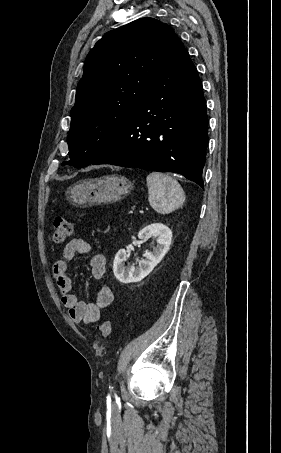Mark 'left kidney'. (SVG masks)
I'll return each mask as SVG.
<instances>
[{"mask_svg": "<svg viewBox=\"0 0 281 453\" xmlns=\"http://www.w3.org/2000/svg\"><path fill=\"white\" fill-rule=\"evenodd\" d=\"M156 237L157 247L153 249V253L145 251L142 255L143 259H138V267H124L125 259H129L128 251L120 249L116 253V257L113 263V273L120 281V283H139L142 279H145L154 267L162 261L166 253H168L172 241V231L166 224L162 222H153L148 224V227H144L140 233H138V239H142L143 243L149 239V237Z\"/></svg>", "mask_w": 281, "mask_h": 453, "instance_id": "5707ae66", "label": "left kidney"}]
</instances>
